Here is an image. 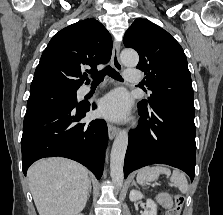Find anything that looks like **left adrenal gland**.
Instances as JSON below:
<instances>
[{"instance_id": "a2214340", "label": "left adrenal gland", "mask_w": 223, "mask_h": 215, "mask_svg": "<svg viewBox=\"0 0 223 215\" xmlns=\"http://www.w3.org/2000/svg\"><path fill=\"white\" fill-rule=\"evenodd\" d=\"M131 185H137V183H136L135 179H133V181H132Z\"/></svg>"}]
</instances>
